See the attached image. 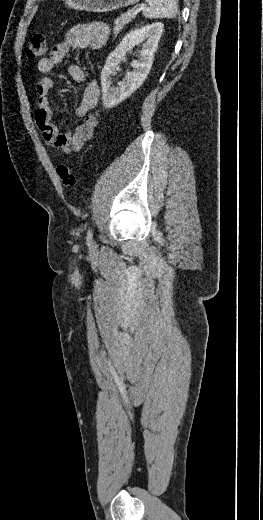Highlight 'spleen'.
I'll list each match as a JSON object with an SVG mask.
<instances>
[{
    "instance_id": "spleen-1",
    "label": "spleen",
    "mask_w": 263,
    "mask_h": 520,
    "mask_svg": "<svg viewBox=\"0 0 263 520\" xmlns=\"http://www.w3.org/2000/svg\"><path fill=\"white\" fill-rule=\"evenodd\" d=\"M148 7L143 10L146 18H175L178 12L177 0H145Z\"/></svg>"
}]
</instances>
